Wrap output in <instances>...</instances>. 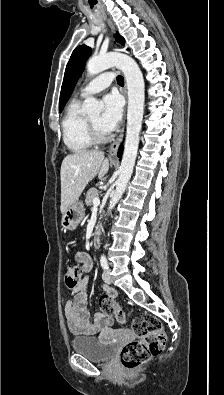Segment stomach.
<instances>
[{
    "instance_id": "obj_1",
    "label": "stomach",
    "mask_w": 224,
    "mask_h": 395,
    "mask_svg": "<svg viewBox=\"0 0 224 395\" xmlns=\"http://www.w3.org/2000/svg\"><path fill=\"white\" fill-rule=\"evenodd\" d=\"M85 215L82 201H76L62 214L61 225L65 230H75Z\"/></svg>"
}]
</instances>
